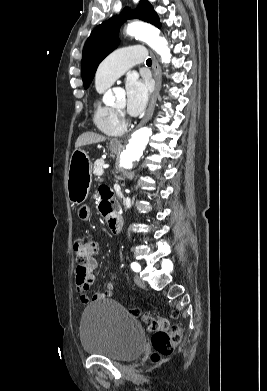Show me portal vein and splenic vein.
<instances>
[{"label":"portal vein and splenic vein","mask_w":267,"mask_h":391,"mask_svg":"<svg viewBox=\"0 0 267 391\" xmlns=\"http://www.w3.org/2000/svg\"><path fill=\"white\" fill-rule=\"evenodd\" d=\"M108 167H109L108 164H104V166H103L104 169H107Z\"/></svg>","instance_id":"obj_1"}]
</instances>
